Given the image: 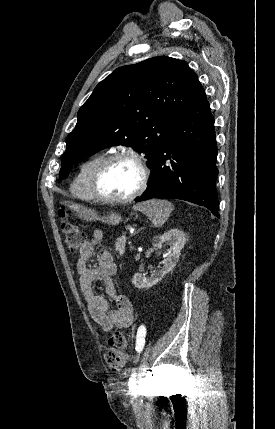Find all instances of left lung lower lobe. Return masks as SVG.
<instances>
[{
  "label": "left lung lower lobe",
  "instance_id": "0a47b994",
  "mask_svg": "<svg viewBox=\"0 0 275 429\" xmlns=\"http://www.w3.org/2000/svg\"><path fill=\"white\" fill-rule=\"evenodd\" d=\"M214 117L198 81L191 101L149 165L151 178L135 201L174 198L207 207L219 218Z\"/></svg>",
  "mask_w": 275,
  "mask_h": 429
}]
</instances>
